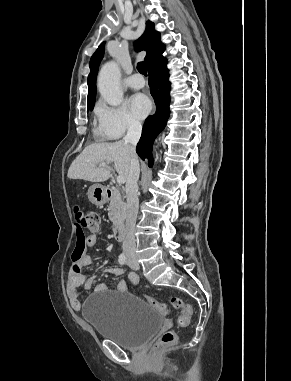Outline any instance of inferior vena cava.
Instances as JSON below:
<instances>
[{
    "instance_id": "602c4592",
    "label": "inferior vena cava",
    "mask_w": 291,
    "mask_h": 381,
    "mask_svg": "<svg viewBox=\"0 0 291 381\" xmlns=\"http://www.w3.org/2000/svg\"><path fill=\"white\" fill-rule=\"evenodd\" d=\"M142 126L138 121H131L128 131L124 137V143L129 148L130 168L126 180V236L123 241V252L126 255L135 254L136 243L134 229L138 214V179H139V161L136 154V145L141 137Z\"/></svg>"
}]
</instances>
